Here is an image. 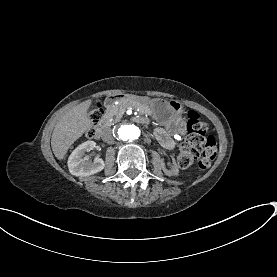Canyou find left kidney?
I'll return each instance as SVG.
<instances>
[{"mask_svg": "<svg viewBox=\"0 0 277 277\" xmlns=\"http://www.w3.org/2000/svg\"><path fill=\"white\" fill-rule=\"evenodd\" d=\"M173 167L170 170H167L164 165H162V170L167 176H176L179 174V169L176 165L175 159L173 158Z\"/></svg>", "mask_w": 277, "mask_h": 277, "instance_id": "1", "label": "left kidney"}]
</instances>
